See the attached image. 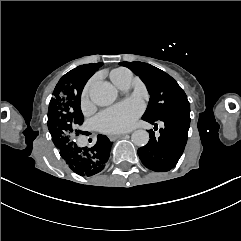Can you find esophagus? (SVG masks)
<instances>
[{
	"label": "esophagus",
	"instance_id": "obj_1",
	"mask_svg": "<svg viewBox=\"0 0 241 241\" xmlns=\"http://www.w3.org/2000/svg\"><path fill=\"white\" fill-rule=\"evenodd\" d=\"M125 136V134H110L108 135V138L111 140V141H115L121 137Z\"/></svg>",
	"mask_w": 241,
	"mask_h": 241
}]
</instances>
